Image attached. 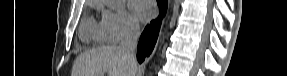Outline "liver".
Masks as SVG:
<instances>
[{
    "instance_id": "liver-1",
    "label": "liver",
    "mask_w": 287,
    "mask_h": 76,
    "mask_svg": "<svg viewBox=\"0 0 287 76\" xmlns=\"http://www.w3.org/2000/svg\"><path fill=\"white\" fill-rule=\"evenodd\" d=\"M73 71V76H104L106 72L113 76H135L137 66L134 68L118 47L106 46L79 55Z\"/></svg>"
}]
</instances>
